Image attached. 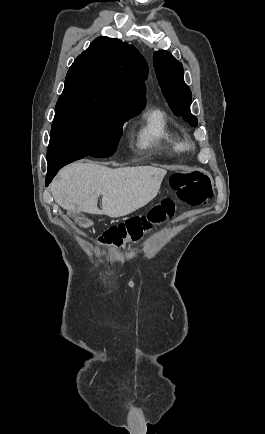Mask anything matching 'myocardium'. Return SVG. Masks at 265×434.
I'll return each instance as SVG.
<instances>
[{"instance_id":"1","label":"myocardium","mask_w":265,"mask_h":434,"mask_svg":"<svg viewBox=\"0 0 265 434\" xmlns=\"http://www.w3.org/2000/svg\"><path fill=\"white\" fill-rule=\"evenodd\" d=\"M183 147L184 151L189 154L195 153L197 151V144L190 139L184 140Z\"/></svg>"}]
</instances>
